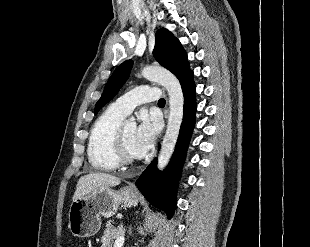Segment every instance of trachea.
Wrapping results in <instances>:
<instances>
[{
    "mask_svg": "<svg viewBox=\"0 0 310 247\" xmlns=\"http://www.w3.org/2000/svg\"><path fill=\"white\" fill-rule=\"evenodd\" d=\"M165 99L161 98L159 101H158V104L159 105H165Z\"/></svg>",
    "mask_w": 310,
    "mask_h": 247,
    "instance_id": "1",
    "label": "trachea"
}]
</instances>
